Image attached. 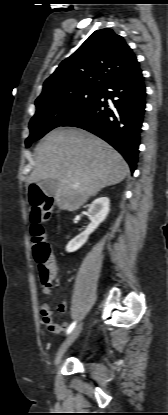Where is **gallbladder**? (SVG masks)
<instances>
[{"label": "gallbladder", "mask_w": 168, "mask_h": 415, "mask_svg": "<svg viewBox=\"0 0 168 415\" xmlns=\"http://www.w3.org/2000/svg\"><path fill=\"white\" fill-rule=\"evenodd\" d=\"M38 185L45 194L54 195L58 189L59 182L54 178H46L40 180Z\"/></svg>", "instance_id": "obj_1"}]
</instances>
